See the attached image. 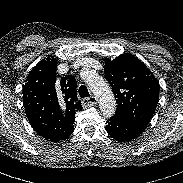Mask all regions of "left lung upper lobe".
Listing matches in <instances>:
<instances>
[{
	"mask_svg": "<svg viewBox=\"0 0 183 183\" xmlns=\"http://www.w3.org/2000/svg\"><path fill=\"white\" fill-rule=\"evenodd\" d=\"M105 77L117 103L114 117L147 126L158 103L159 84L146 65L125 53L105 59Z\"/></svg>",
	"mask_w": 183,
	"mask_h": 183,
	"instance_id": "5c2ea615",
	"label": "left lung upper lobe"
}]
</instances>
